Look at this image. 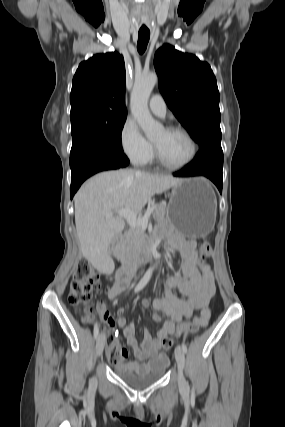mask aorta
<instances>
[{"label":"aorta","instance_id":"1","mask_svg":"<svg viewBox=\"0 0 285 427\" xmlns=\"http://www.w3.org/2000/svg\"><path fill=\"white\" fill-rule=\"evenodd\" d=\"M157 81L154 73L137 76L130 99L131 113L149 139L162 130V125L153 119L148 108V100Z\"/></svg>","mask_w":285,"mask_h":427}]
</instances>
